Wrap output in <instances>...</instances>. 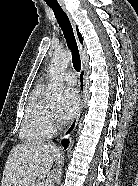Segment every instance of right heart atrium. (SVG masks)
I'll return each mask as SVG.
<instances>
[{
	"instance_id": "right-heart-atrium-1",
	"label": "right heart atrium",
	"mask_w": 138,
	"mask_h": 186,
	"mask_svg": "<svg viewBox=\"0 0 138 186\" xmlns=\"http://www.w3.org/2000/svg\"><path fill=\"white\" fill-rule=\"evenodd\" d=\"M47 123L50 132H55L58 128V123L57 120L53 114V112H49L48 117H47Z\"/></svg>"
}]
</instances>
